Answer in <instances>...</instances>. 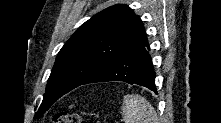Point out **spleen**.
<instances>
[{"mask_svg": "<svg viewBox=\"0 0 221 123\" xmlns=\"http://www.w3.org/2000/svg\"><path fill=\"white\" fill-rule=\"evenodd\" d=\"M121 114L125 123H157L154 108L139 94L124 96Z\"/></svg>", "mask_w": 221, "mask_h": 123, "instance_id": "spleen-1", "label": "spleen"}]
</instances>
